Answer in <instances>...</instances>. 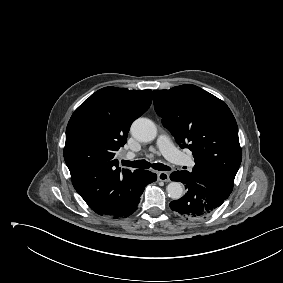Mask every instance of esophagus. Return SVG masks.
I'll use <instances>...</instances> for the list:
<instances>
[{
    "label": "esophagus",
    "instance_id": "esophagus-1",
    "mask_svg": "<svg viewBox=\"0 0 283 283\" xmlns=\"http://www.w3.org/2000/svg\"><path fill=\"white\" fill-rule=\"evenodd\" d=\"M157 177H158V180L163 181V182H169L170 181L169 174L167 172H164V171L158 172Z\"/></svg>",
    "mask_w": 283,
    "mask_h": 283
}]
</instances>
